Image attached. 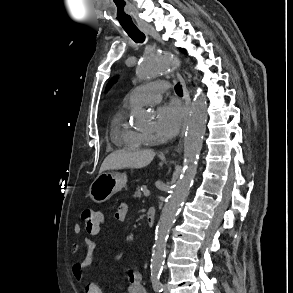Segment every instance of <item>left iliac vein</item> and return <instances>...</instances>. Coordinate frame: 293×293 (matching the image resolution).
Returning a JSON list of instances; mask_svg holds the SVG:
<instances>
[{
  "mask_svg": "<svg viewBox=\"0 0 293 293\" xmlns=\"http://www.w3.org/2000/svg\"><path fill=\"white\" fill-rule=\"evenodd\" d=\"M163 293H169V288L167 284H164L163 286Z\"/></svg>",
  "mask_w": 293,
  "mask_h": 293,
  "instance_id": "left-iliac-vein-1",
  "label": "left iliac vein"
}]
</instances>
